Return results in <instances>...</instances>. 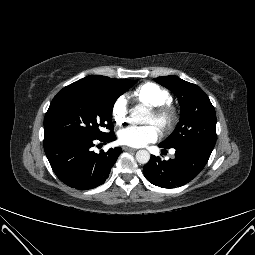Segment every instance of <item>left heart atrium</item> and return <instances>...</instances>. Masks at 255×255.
Here are the masks:
<instances>
[{
    "mask_svg": "<svg viewBox=\"0 0 255 255\" xmlns=\"http://www.w3.org/2000/svg\"><path fill=\"white\" fill-rule=\"evenodd\" d=\"M159 136L160 130L155 124L131 125L119 132V141L131 147H143L156 141Z\"/></svg>",
    "mask_w": 255,
    "mask_h": 255,
    "instance_id": "1",
    "label": "left heart atrium"
}]
</instances>
